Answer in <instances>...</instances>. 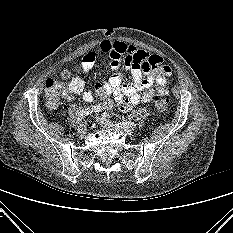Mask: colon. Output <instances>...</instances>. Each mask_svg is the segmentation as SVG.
Wrapping results in <instances>:
<instances>
[{
    "mask_svg": "<svg viewBox=\"0 0 233 233\" xmlns=\"http://www.w3.org/2000/svg\"><path fill=\"white\" fill-rule=\"evenodd\" d=\"M71 72L76 70H65L62 74L64 78L68 77ZM65 92V85L63 82L54 79H47L45 82V98L50 107H55L60 96ZM95 94L100 97L107 107L112 106V102L109 99V94L104 88L102 83H96L94 85ZM169 98L164 94H157L153 97V106L159 111L163 112L168 108Z\"/></svg>",
    "mask_w": 233,
    "mask_h": 233,
    "instance_id": "1",
    "label": "colon"
}]
</instances>
